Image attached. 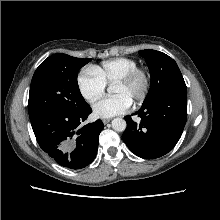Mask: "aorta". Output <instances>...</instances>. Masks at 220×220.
<instances>
[{"label":"aorta","mask_w":220,"mask_h":220,"mask_svg":"<svg viewBox=\"0 0 220 220\" xmlns=\"http://www.w3.org/2000/svg\"><path fill=\"white\" fill-rule=\"evenodd\" d=\"M112 128L117 132H123L126 129V121L122 118H114Z\"/></svg>","instance_id":"obj_1"}]
</instances>
